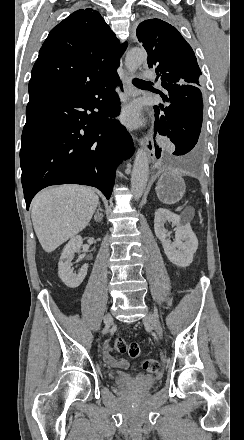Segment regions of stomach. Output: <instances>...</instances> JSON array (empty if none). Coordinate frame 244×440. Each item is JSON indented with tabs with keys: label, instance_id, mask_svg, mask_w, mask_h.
Wrapping results in <instances>:
<instances>
[{
	"label": "stomach",
	"instance_id": "0dacf381",
	"mask_svg": "<svg viewBox=\"0 0 244 440\" xmlns=\"http://www.w3.org/2000/svg\"><path fill=\"white\" fill-rule=\"evenodd\" d=\"M186 184L178 172L163 170L156 186V194L163 204H176L182 200Z\"/></svg>",
	"mask_w": 244,
	"mask_h": 440
}]
</instances>
